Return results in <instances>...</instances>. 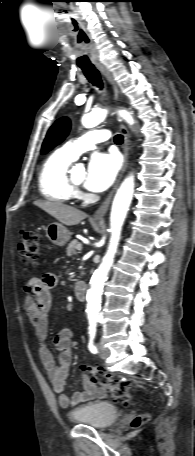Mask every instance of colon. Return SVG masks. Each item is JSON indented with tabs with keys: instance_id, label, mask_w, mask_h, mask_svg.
<instances>
[{
	"instance_id": "1",
	"label": "colon",
	"mask_w": 195,
	"mask_h": 456,
	"mask_svg": "<svg viewBox=\"0 0 195 456\" xmlns=\"http://www.w3.org/2000/svg\"><path fill=\"white\" fill-rule=\"evenodd\" d=\"M41 241L36 232L26 231L21 235L19 243V252L26 263L35 264L40 255ZM85 371L95 383H98L107 388L108 393L112 400L123 406H130L132 404L131 388L132 385L127 380H113L110 375L99 366H84ZM149 419L148 414L138 415L132 425L138 427L147 422Z\"/></svg>"
}]
</instances>
